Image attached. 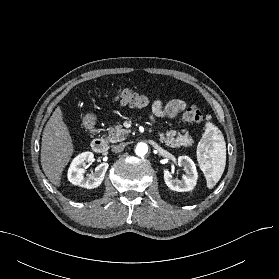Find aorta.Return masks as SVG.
<instances>
[{"label": "aorta", "mask_w": 279, "mask_h": 279, "mask_svg": "<svg viewBox=\"0 0 279 279\" xmlns=\"http://www.w3.org/2000/svg\"><path fill=\"white\" fill-rule=\"evenodd\" d=\"M147 152H148V146H147L146 143L141 142V143L137 144L136 149H135V153L138 156L142 157L145 154H147Z\"/></svg>", "instance_id": "1"}]
</instances>
